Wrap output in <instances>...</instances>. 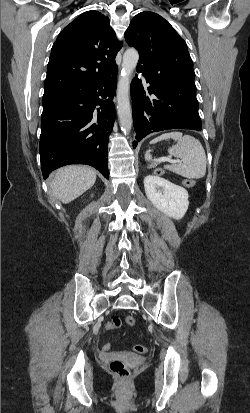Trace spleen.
<instances>
[{
	"label": "spleen",
	"mask_w": 250,
	"mask_h": 413,
	"mask_svg": "<svg viewBox=\"0 0 250 413\" xmlns=\"http://www.w3.org/2000/svg\"><path fill=\"white\" fill-rule=\"evenodd\" d=\"M173 139L176 145L168 149L169 154L180 158V163L165 165L164 167L182 177L199 179L206 174V154L202 144L190 135H183L182 132L173 131L162 134L151 141L152 144L161 140ZM145 159L151 160L152 156L148 152Z\"/></svg>",
	"instance_id": "1"
}]
</instances>
